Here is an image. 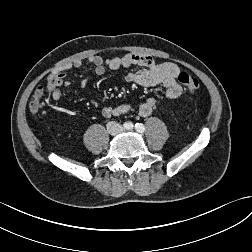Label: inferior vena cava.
<instances>
[{"instance_id":"1","label":"inferior vena cava","mask_w":252,"mask_h":252,"mask_svg":"<svg viewBox=\"0 0 252 252\" xmlns=\"http://www.w3.org/2000/svg\"><path fill=\"white\" fill-rule=\"evenodd\" d=\"M107 130L110 134L117 135L123 131V128L120 124L112 121L107 124Z\"/></svg>"}]
</instances>
